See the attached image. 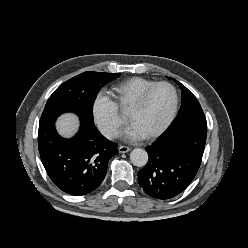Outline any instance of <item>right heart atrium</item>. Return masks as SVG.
Wrapping results in <instances>:
<instances>
[{
	"label": "right heart atrium",
	"mask_w": 248,
	"mask_h": 248,
	"mask_svg": "<svg viewBox=\"0 0 248 248\" xmlns=\"http://www.w3.org/2000/svg\"><path fill=\"white\" fill-rule=\"evenodd\" d=\"M92 117L99 131L109 139L116 138L125 123L117 105L105 92L98 93L94 98Z\"/></svg>",
	"instance_id": "obj_1"
}]
</instances>
